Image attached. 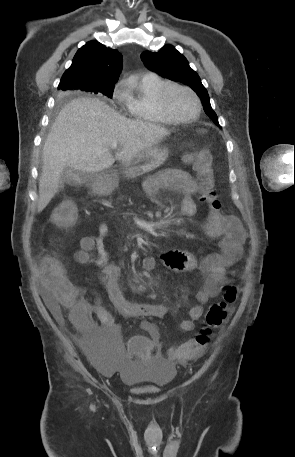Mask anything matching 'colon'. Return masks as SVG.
I'll use <instances>...</instances> for the list:
<instances>
[{
    "mask_svg": "<svg viewBox=\"0 0 295 457\" xmlns=\"http://www.w3.org/2000/svg\"><path fill=\"white\" fill-rule=\"evenodd\" d=\"M185 161L192 163L198 173L200 200L212 211H219L220 202L217 198L214 181L212 159L206 150L190 152ZM77 217V209L70 202L61 203L52 215V222L59 228L69 227ZM42 272L50 278V287L59 304L70 310V318L77 320L80 311V292L66 277L64 269L54 255H46L41 263ZM237 298V288L228 287L221 301L213 303L205 316V324L193 338L189 339L172 351H167V360H189L204 351L213 329L225 323L230 312V305ZM120 350L122 359L128 363L150 362L154 358L153 342L145 330H134Z\"/></svg>",
    "mask_w": 295,
    "mask_h": 457,
    "instance_id": "obj_1",
    "label": "colon"
}]
</instances>
